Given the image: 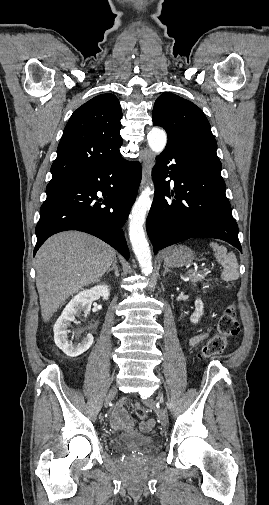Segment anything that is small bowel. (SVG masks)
I'll return each instance as SVG.
<instances>
[{
	"instance_id": "c3829d8e",
	"label": "small bowel",
	"mask_w": 269,
	"mask_h": 505,
	"mask_svg": "<svg viewBox=\"0 0 269 505\" xmlns=\"http://www.w3.org/2000/svg\"><path fill=\"white\" fill-rule=\"evenodd\" d=\"M207 337L206 333H199L194 335L189 340V346L195 347L200 342L205 340ZM127 403V399H121L116 406L114 407L111 414V426L114 430H125L129 434H133L135 432V426L133 420L128 416L125 405ZM155 425V421L153 419L145 420L141 423V430H150Z\"/></svg>"
}]
</instances>
